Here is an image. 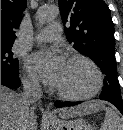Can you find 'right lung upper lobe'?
Wrapping results in <instances>:
<instances>
[{
    "label": "right lung upper lobe",
    "instance_id": "1",
    "mask_svg": "<svg viewBox=\"0 0 123 130\" xmlns=\"http://www.w3.org/2000/svg\"><path fill=\"white\" fill-rule=\"evenodd\" d=\"M26 0H1V45H13Z\"/></svg>",
    "mask_w": 123,
    "mask_h": 130
}]
</instances>
